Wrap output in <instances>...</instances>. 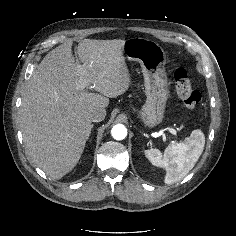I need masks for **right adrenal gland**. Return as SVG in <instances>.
Masks as SVG:
<instances>
[{"label": "right adrenal gland", "mask_w": 236, "mask_h": 236, "mask_svg": "<svg viewBox=\"0 0 236 236\" xmlns=\"http://www.w3.org/2000/svg\"><path fill=\"white\" fill-rule=\"evenodd\" d=\"M93 128V124L91 125V129Z\"/></svg>", "instance_id": "obj_1"}]
</instances>
